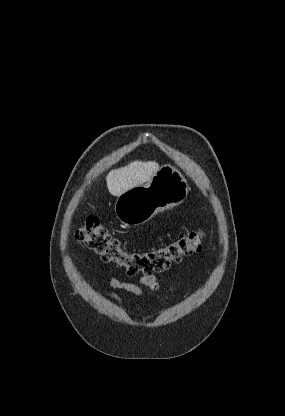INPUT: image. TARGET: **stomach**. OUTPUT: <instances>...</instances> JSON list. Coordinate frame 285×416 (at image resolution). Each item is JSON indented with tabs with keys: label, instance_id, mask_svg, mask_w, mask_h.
I'll list each match as a JSON object with an SVG mask.
<instances>
[{
	"label": "stomach",
	"instance_id": "1",
	"mask_svg": "<svg viewBox=\"0 0 285 416\" xmlns=\"http://www.w3.org/2000/svg\"><path fill=\"white\" fill-rule=\"evenodd\" d=\"M188 192L189 186L181 172L165 164L150 182L117 196L114 208L116 218L125 226H140L158 212L182 204Z\"/></svg>",
	"mask_w": 285,
	"mask_h": 416
}]
</instances>
